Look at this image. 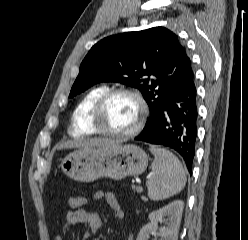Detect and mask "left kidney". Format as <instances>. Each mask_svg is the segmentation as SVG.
Returning a JSON list of instances; mask_svg holds the SVG:
<instances>
[{"instance_id": "5707ae66", "label": "left kidney", "mask_w": 248, "mask_h": 240, "mask_svg": "<svg viewBox=\"0 0 248 240\" xmlns=\"http://www.w3.org/2000/svg\"><path fill=\"white\" fill-rule=\"evenodd\" d=\"M184 202L176 200L167 206L149 214L150 223L144 225L136 240H148L150 234H158L161 240H177ZM165 217H167L165 219ZM164 221L166 226L158 231V223Z\"/></svg>"}]
</instances>
